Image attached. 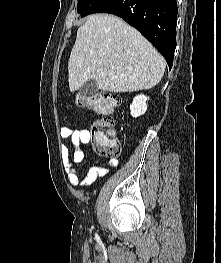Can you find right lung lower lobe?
<instances>
[{
	"label": "right lung lower lobe",
	"instance_id": "98d812e1",
	"mask_svg": "<svg viewBox=\"0 0 221 263\" xmlns=\"http://www.w3.org/2000/svg\"><path fill=\"white\" fill-rule=\"evenodd\" d=\"M93 13H111L135 27L173 65L176 48V0H105Z\"/></svg>",
	"mask_w": 221,
	"mask_h": 263
}]
</instances>
